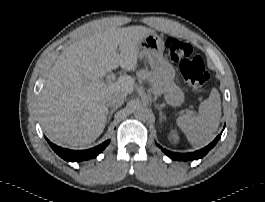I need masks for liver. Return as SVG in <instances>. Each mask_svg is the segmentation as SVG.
<instances>
[{
	"mask_svg": "<svg viewBox=\"0 0 265 202\" xmlns=\"http://www.w3.org/2000/svg\"><path fill=\"white\" fill-rule=\"evenodd\" d=\"M151 33L154 31L144 26L116 28L95 21L64 49L38 98L40 122L51 142L77 148L91 144L102 134L109 113L107 95L131 94L136 85L127 75L114 83L103 78L119 66L135 71L139 43Z\"/></svg>",
	"mask_w": 265,
	"mask_h": 202,
	"instance_id": "obj_1",
	"label": "liver"
}]
</instances>
